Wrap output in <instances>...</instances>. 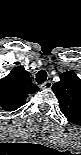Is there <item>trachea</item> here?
<instances>
[{
    "mask_svg": "<svg viewBox=\"0 0 81 155\" xmlns=\"http://www.w3.org/2000/svg\"><path fill=\"white\" fill-rule=\"evenodd\" d=\"M47 79V73L45 70H40L37 74H36V82L38 84H42L46 81Z\"/></svg>",
    "mask_w": 81,
    "mask_h": 155,
    "instance_id": "obj_1",
    "label": "trachea"
}]
</instances>
